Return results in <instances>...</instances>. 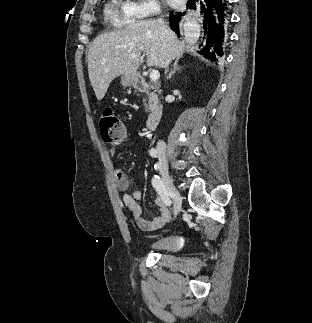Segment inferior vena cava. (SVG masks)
<instances>
[{
    "mask_svg": "<svg viewBox=\"0 0 312 323\" xmlns=\"http://www.w3.org/2000/svg\"><path fill=\"white\" fill-rule=\"evenodd\" d=\"M156 22H158V24H160L162 30H164V32H166V34H167L168 26H166L163 18H159V20H156ZM164 68H168V64H166V66H164ZM157 148H166L165 142H162V140H161V142H158Z\"/></svg>",
    "mask_w": 312,
    "mask_h": 323,
    "instance_id": "inferior-vena-cava-1",
    "label": "inferior vena cava"
}]
</instances>
